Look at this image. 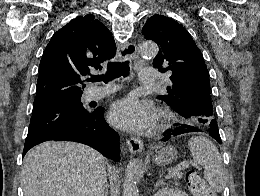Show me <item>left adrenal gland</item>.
Listing matches in <instances>:
<instances>
[{"label": "left adrenal gland", "instance_id": "a2214340", "mask_svg": "<svg viewBox=\"0 0 260 196\" xmlns=\"http://www.w3.org/2000/svg\"><path fill=\"white\" fill-rule=\"evenodd\" d=\"M163 180H159V182H156L155 190L158 188V186H162Z\"/></svg>", "mask_w": 260, "mask_h": 196}]
</instances>
